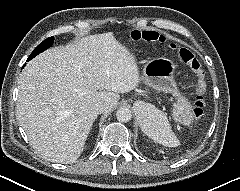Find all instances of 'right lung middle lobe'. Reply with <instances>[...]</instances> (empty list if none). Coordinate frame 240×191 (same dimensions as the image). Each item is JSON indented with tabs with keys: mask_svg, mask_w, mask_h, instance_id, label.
<instances>
[{
	"mask_svg": "<svg viewBox=\"0 0 240 191\" xmlns=\"http://www.w3.org/2000/svg\"><path fill=\"white\" fill-rule=\"evenodd\" d=\"M54 42V37H49L46 40H44L42 43H40L35 49L34 51L31 53V55L29 56L28 60H31L33 57H35L36 55H38L39 53L43 52L44 50H46L48 47H50L52 45V43Z\"/></svg>",
	"mask_w": 240,
	"mask_h": 191,
	"instance_id": "1",
	"label": "right lung middle lobe"
}]
</instances>
